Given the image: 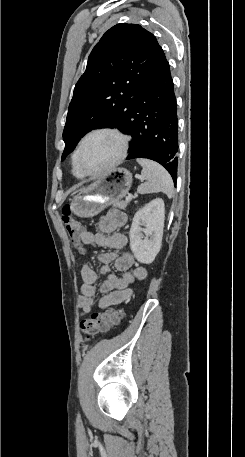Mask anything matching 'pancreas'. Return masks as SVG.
<instances>
[{
    "label": "pancreas",
    "instance_id": "obj_1",
    "mask_svg": "<svg viewBox=\"0 0 245 457\" xmlns=\"http://www.w3.org/2000/svg\"><path fill=\"white\" fill-rule=\"evenodd\" d=\"M114 206H118V208H123V210H125L128 202L127 200H115V202H113Z\"/></svg>",
    "mask_w": 245,
    "mask_h": 457
}]
</instances>
